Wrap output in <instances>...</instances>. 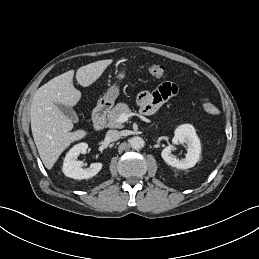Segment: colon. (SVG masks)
<instances>
[{
    "mask_svg": "<svg viewBox=\"0 0 259 259\" xmlns=\"http://www.w3.org/2000/svg\"><path fill=\"white\" fill-rule=\"evenodd\" d=\"M147 72L153 77H162L166 73V68L161 64H153L147 68ZM202 109L210 115H218L219 109L207 100L201 103Z\"/></svg>",
    "mask_w": 259,
    "mask_h": 259,
    "instance_id": "colon-1",
    "label": "colon"
}]
</instances>
